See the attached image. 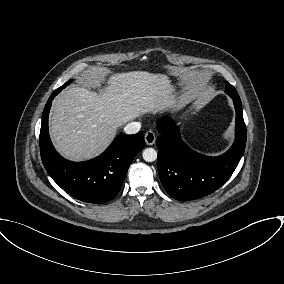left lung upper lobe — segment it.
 <instances>
[{"label": "left lung upper lobe", "mask_w": 284, "mask_h": 284, "mask_svg": "<svg viewBox=\"0 0 284 284\" xmlns=\"http://www.w3.org/2000/svg\"><path fill=\"white\" fill-rule=\"evenodd\" d=\"M225 85H226V90L225 92L231 97V98H236V99H240L239 98V95L236 91V89L231 85L229 84L228 82H225Z\"/></svg>", "instance_id": "1"}]
</instances>
